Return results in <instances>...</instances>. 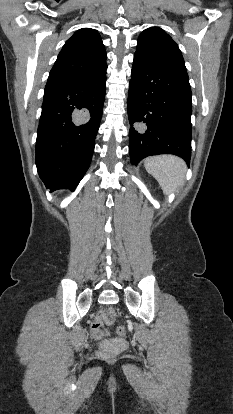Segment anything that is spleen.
Here are the masks:
<instances>
[{
  "label": "spleen",
  "instance_id": "spleen-1",
  "mask_svg": "<svg viewBox=\"0 0 233 414\" xmlns=\"http://www.w3.org/2000/svg\"><path fill=\"white\" fill-rule=\"evenodd\" d=\"M144 166L159 183L165 194L175 192L184 185L186 164L174 155L149 157Z\"/></svg>",
  "mask_w": 233,
  "mask_h": 414
}]
</instances>
